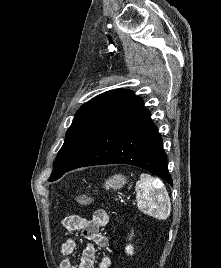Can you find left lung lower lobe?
Returning <instances> with one entry per match:
<instances>
[{
    "label": "left lung lower lobe",
    "mask_w": 221,
    "mask_h": 268,
    "mask_svg": "<svg viewBox=\"0 0 221 268\" xmlns=\"http://www.w3.org/2000/svg\"><path fill=\"white\" fill-rule=\"evenodd\" d=\"M143 105L119 117L65 171L102 164H130L166 180L171 186L167 155L158 128Z\"/></svg>",
    "instance_id": "0a47b994"
}]
</instances>
